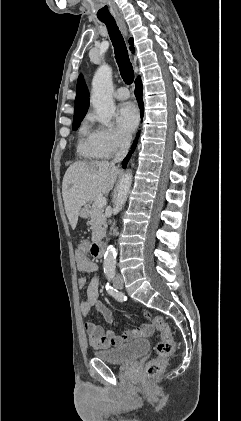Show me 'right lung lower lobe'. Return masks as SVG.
<instances>
[{"label": "right lung lower lobe", "instance_id": "right-lung-lower-lobe-1", "mask_svg": "<svg viewBox=\"0 0 241 421\" xmlns=\"http://www.w3.org/2000/svg\"><path fill=\"white\" fill-rule=\"evenodd\" d=\"M135 86H136V88H135V96H136V98L138 100L139 107L141 108V116H143L144 108H143V100H142V82H141L140 76H138L137 79L135 80ZM135 146H136V141L134 142V144L132 146L131 152L127 155V157L124 159V161L122 163V165H123L124 168L126 167L128 161H129V159L131 157V154L133 153V151L135 149Z\"/></svg>", "mask_w": 241, "mask_h": 421}]
</instances>
